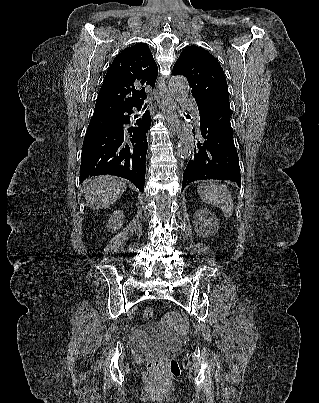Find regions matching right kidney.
I'll use <instances>...</instances> for the list:
<instances>
[{"label":"right kidney","mask_w":319,"mask_h":403,"mask_svg":"<svg viewBox=\"0 0 319 403\" xmlns=\"http://www.w3.org/2000/svg\"><path fill=\"white\" fill-rule=\"evenodd\" d=\"M123 223H124V213L121 210H117L111 215L107 228L108 230L116 231L119 228H121Z\"/></svg>","instance_id":"obj_1"}]
</instances>
